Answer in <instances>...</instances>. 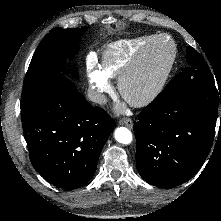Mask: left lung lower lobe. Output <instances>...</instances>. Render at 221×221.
Segmentation results:
<instances>
[{
  "mask_svg": "<svg viewBox=\"0 0 221 221\" xmlns=\"http://www.w3.org/2000/svg\"><path fill=\"white\" fill-rule=\"evenodd\" d=\"M218 88L214 81L193 79L164 89L141 111L133 129L137 168L146 182L175 187L203 165L221 104Z\"/></svg>",
  "mask_w": 221,
  "mask_h": 221,
  "instance_id": "0a47b994",
  "label": "left lung lower lobe"
}]
</instances>
